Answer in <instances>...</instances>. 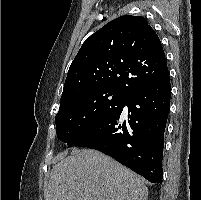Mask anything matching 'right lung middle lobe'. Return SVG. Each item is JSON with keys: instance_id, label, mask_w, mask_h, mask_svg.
<instances>
[{"instance_id": "1", "label": "right lung middle lobe", "mask_w": 201, "mask_h": 200, "mask_svg": "<svg viewBox=\"0 0 201 200\" xmlns=\"http://www.w3.org/2000/svg\"><path fill=\"white\" fill-rule=\"evenodd\" d=\"M126 98L115 91H94L61 102L55 117L58 139L69 144L118 110Z\"/></svg>"}]
</instances>
